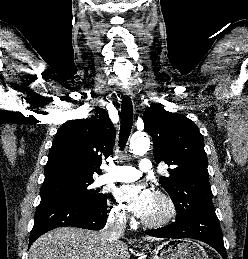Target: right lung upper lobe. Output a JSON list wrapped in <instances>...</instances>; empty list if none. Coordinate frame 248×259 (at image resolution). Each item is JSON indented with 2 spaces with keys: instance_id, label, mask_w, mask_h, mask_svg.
Instances as JSON below:
<instances>
[{
  "instance_id": "1",
  "label": "right lung upper lobe",
  "mask_w": 248,
  "mask_h": 259,
  "mask_svg": "<svg viewBox=\"0 0 248 259\" xmlns=\"http://www.w3.org/2000/svg\"><path fill=\"white\" fill-rule=\"evenodd\" d=\"M89 119L71 120L57 131L45 165L44 183L93 180V172L107 158L115 142V128L108 113L94 109Z\"/></svg>"
}]
</instances>
